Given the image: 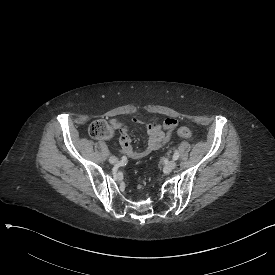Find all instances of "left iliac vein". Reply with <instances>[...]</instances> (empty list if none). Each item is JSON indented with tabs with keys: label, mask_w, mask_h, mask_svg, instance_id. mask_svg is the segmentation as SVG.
I'll return each instance as SVG.
<instances>
[{
	"label": "left iliac vein",
	"mask_w": 275,
	"mask_h": 275,
	"mask_svg": "<svg viewBox=\"0 0 275 275\" xmlns=\"http://www.w3.org/2000/svg\"><path fill=\"white\" fill-rule=\"evenodd\" d=\"M175 167H176V161L175 160H170L165 165V169L168 170V171H171V170L175 169Z\"/></svg>",
	"instance_id": "obj_1"
}]
</instances>
